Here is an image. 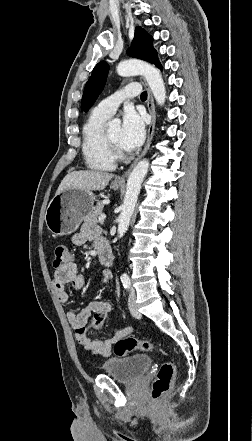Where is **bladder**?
Returning a JSON list of instances; mask_svg holds the SVG:
<instances>
[{"instance_id": "obj_1", "label": "bladder", "mask_w": 252, "mask_h": 441, "mask_svg": "<svg viewBox=\"0 0 252 441\" xmlns=\"http://www.w3.org/2000/svg\"><path fill=\"white\" fill-rule=\"evenodd\" d=\"M152 358L145 354L111 358L102 364V369L113 379L123 383H134L151 368Z\"/></svg>"}]
</instances>
